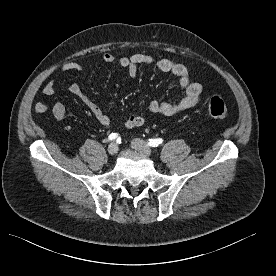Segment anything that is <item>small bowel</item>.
Wrapping results in <instances>:
<instances>
[{
	"instance_id": "small-bowel-1",
	"label": "small bowel",
	"mask_w": 276,
	"mask_h": 276,
	"mask_svg": "<svg viewBox=\"0 0 276 276\" xmlns=\"http://www.w3.org/2000/svg\"><path fill=\"white\" fill-rule=\"evenodd\" d=\"M105 64H112L116 58L111 53H105L102 57ZM119 65L127 70L130 78H135L139 65H149L157 68L162 72H169L178 77V86L184 92V95L174 102H158L153 101L148 105V110L154 114H161L164 116H173L183 110L193 107L200 100L202 87L199 83L190 81V74L186 66L176 63L170 59H157L149 54H134L131 56H124L119 59ZM62 70L76 71L83 77L85 76V67L77 62H67L63 64ZM56 91L54 80H49L43 86V93L45 95H52ZM69 92L77 97L94 115L96 120L107 126L111 123L110 117L94 102L77 83L69 86ZM34 109L38 113L47 111L46 103L37 102ZM52 114L58 121H62L66 117V107L64 104L57 102L52 107ZM144 124V118L140 115L131 114L125 121V126L129 129L141 127Z\"/></svg>"
}]
</instances>
